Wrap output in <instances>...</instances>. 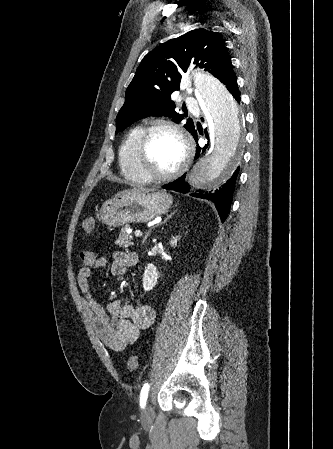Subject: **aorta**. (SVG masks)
<instances>
[{
  "instance_id": "obj_1",
  "label": "aorta",
  "mask_w": 333,
  "mask_h": 449,
  "mask_svg": "<svg viewBox=\"0 0 333 449\" xmlns=\"http://www.w3.org/2000/svg\"><path fill=\"white\" fill-rule=\"evenodd\" d=\"M196 97L211 123V149L202 154L188 174L192 189L209 191L219 188L234 167L243 145L242 116L226 87L201 70L193 73Z\"/></svg>"
}]
</instances>
